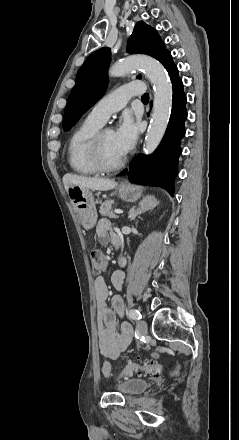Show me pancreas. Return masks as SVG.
Listing matches in <instances>:
<instances>
[{"instance_id":"1","label":"pancreas","mask_w":239,"mask_h":440,"mask_svg":"<svg viewBox=\"0 0 239 440\" xmlns=\"http://www.w3.org/2000/svg\"><path fill=\"white\" fill-rule=\"evenodd\" d=\"M112 204L113 202H110V200H105L103 204L100 206V214L101 216H108V218H118V216H115L112 212Z\"/></svg>"}]
</instances>
